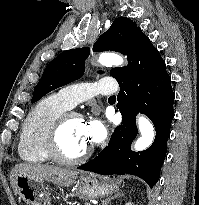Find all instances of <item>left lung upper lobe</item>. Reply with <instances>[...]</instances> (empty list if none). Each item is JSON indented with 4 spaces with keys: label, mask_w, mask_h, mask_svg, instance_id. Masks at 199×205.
Returning a JSON list of instances; mask_svg holds the SVG:
<instances>
[{
    "label": "left lung upper lobe",
    "mask_w": 199,
    "mask_h": 205,
    "mask_svg": "<svg viewBox=\"0 0 199 205\" xmlns=\"http://www.w3.org/2000/svg\"><path fill=\"white\" fill-rule=\"evenodd\" d=\"M141 32L137 25L126 17L115 19L110 28L102 34L93 46V51H116L127 55L136 37ZM89 47L66 50L54 58L45 68L36 85L31 102H36L50 91L64 86L82 77L85 59L89 56ZM120 68L110 70L117 77ZM99 73H103L100 71Z\"/></svg>",
    "instance_id": "obj_1"
}]
</instances>
